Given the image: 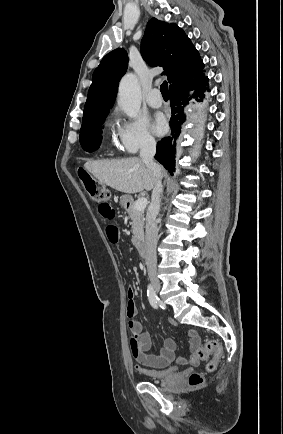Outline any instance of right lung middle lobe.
<instances>
[{
	"label": "right lung middle lobe",
	"mask_w": 283,
	"mask_h": 434,
	"mask_svg": "<svg viewBox=\"0 0 283 434\" xmlns=\"http://www.w3.org/2000/svg\"><path fill=\"white\" fill-rule=\"evenodd\" d=\"M105 117L95 123L81 127L80 143L85 151L93 152L99 148V144L102 140V136L100 135L102 132L101 127L104 123Z\"/></svg>",
	"instance_id": "right-lung-middle-lobe-1"
}]
</instances>
